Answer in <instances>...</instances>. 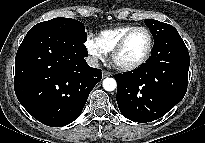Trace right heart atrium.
<instances>
[{
	"label": "right heart atrium",
	"mask_w": 205,
	"mask_h": 143,
	"mask_svg": "<svg viewBox=\"0 0 205 143\" xmlns=\"http://www.w3.org/2000/svg\"><path fill=\"white\" fill-rule=\"evenodd\" d=\"M85 48L88 54L92 57L93 60L99 61L102 60L105 56V53L98 45L96 39L91 36H88L85 40Z\"/></svg>",
	"instance_id": "right-heart-atrium-1"
}]
</instances>
